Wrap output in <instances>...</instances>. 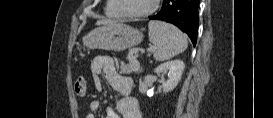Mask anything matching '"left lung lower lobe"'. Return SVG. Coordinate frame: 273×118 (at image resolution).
Returning <instances> with one entry per match:
<instances>
[{"instance_id":"1","label":"left lung lower lobe","mask_w":273,"mask_h":118,"mask_svg":"<svg viewBox=\"0 0 273 118\" xmlns=\"http://www.w3.org/2000/svg\"><path fill=\"white\" fill-rule=\"evenodd\" d=\"M199 0H163L162 9L150 20H162L177 26L184 31L196 45L198 34Z\"/></svg>"}]
</instances>
